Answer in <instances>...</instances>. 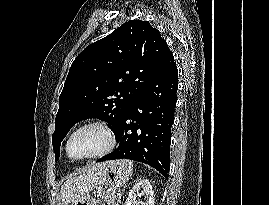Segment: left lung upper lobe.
Wrapping results in <instances>:
<instances>
[{
  "instance_id": "left-lung-upper-lobe-1",
  "label": "left lung upper lobe",
  "mask_w": 269,
  "mask_h": 205,
  "mask_svg": "<svg viewBox=\"0 0 269 205\" xmlns=\"http://www.w3.org/2000/svg\"><path fill=\"white\" fill-rule=\"evenodd\" d=\"M170 55L160 32L141 20L128 21L87 46L73 61L59 97L52 135L55 160L60 157L61 141L81 120L98 118L115 132Z\"/></svg>"
}]
</instances>
